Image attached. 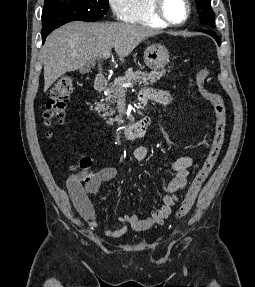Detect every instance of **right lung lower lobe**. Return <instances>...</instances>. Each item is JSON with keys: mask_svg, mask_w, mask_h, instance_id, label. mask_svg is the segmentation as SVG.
<instances>
[{"mask_svg": "<svg viewBox=\"0 0 255 287\" xmlns=\"http://www.w3.org/2000/svg\"><path fill=\"white\" fill-rule=\"evenodd\" d=\"M52 31H53V30L47 31V32H42V41H43V44H44V42H45L46 37H47Z\"/></svg>", "mask_w": 255, "mask_h": 287, "instance_id": "right-lung-lower-lobe-1", "label": "right lung lower lobe"}]
</instances>
